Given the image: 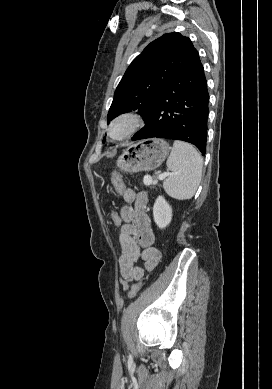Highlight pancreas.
<instances>
[{
    "mask_svg": "<svg viewBox=\"0 0 272 389\" xmlns=\"http://www.w3.org/2000/svg\"><path fill=\"white\" fill-rule=\"evenodd\" d=\"M149 177H150V176H148V178H149ZM153 183H154V181H153L152 183H150V184L144 182V184H145L146 186H149V185H151V184H153Z\"/></svg>",
    "mask_w": 272,
    "mask_h": 389,
    "instance_id": "cf45deb5",
    "label": "pancreas"
}]
</instances>
